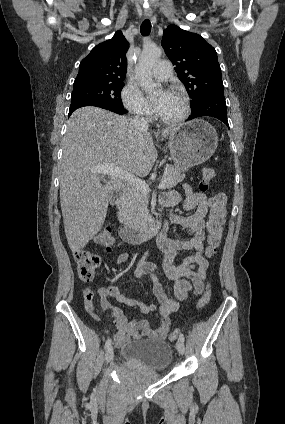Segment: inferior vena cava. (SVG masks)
<instances>
[{"label": "inferior vena cava", "mask_w": 285, "mask_h": 424, "mask_svg": "<svg viewBox=\"0 0 285 424\" xmlns=\"http://www.w3.org/2000/svg\"><path fill=\"white\" fill-rule=\"evenodd\" d=\"M132 124L134 127L140 131H147L148 130V123L145 120L144 117H141L140 115H136L131 119Z\"/></svg>", "instance_id": "602c4592"}]
</instances>
